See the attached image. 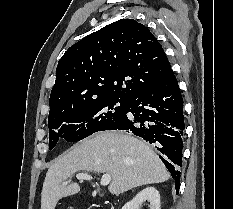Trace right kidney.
Wrapping results in <instances>:
<instances>
[{
  "label": "right kidney",
  "mask_w": 233,
  "mask_h": 209,
  "mask_svg": "<svg viewBox=\"0 0 233 209\" xmlns=\"http://www.w3.org/2000/svg\"><path fill=\"white\" fill-rule=\"evenodd\" d=\"M144 201L150 203V209H160V194L154 187L143 189L130 202L126 203L122 209H139Z\"/></svg>",
  "instance_id": "right-kidney-1"
}]
</instances>
